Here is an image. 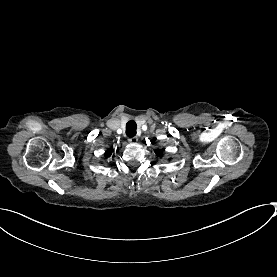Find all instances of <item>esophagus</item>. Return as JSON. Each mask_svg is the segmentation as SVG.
<instances>
[{"mask_svg":"<svg viewBox=\"0 0 277 277\" xmlns=\"http://www.w3.org/2000/svg\"><path fill=\"white\" fill-rule=\"evenodd\" d=\"M128 142L131 144H136L138 142V138L136 136L128 138Z\"/></svg>","mask_w":277,"mask_h":277,"instance_id":"obj_1","label":"esophagus"}]
</instances>
